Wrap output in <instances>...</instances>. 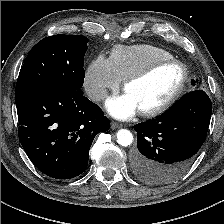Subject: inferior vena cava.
Here are the masks:
<instances>
[{"label":"inferior vena cava","mask_w":224,"mask_h":224,"mask_svg":"<svg viewBox=\"0 0 224 224\" xmlns=\"http://www.w3.org/2000/svg\"><path fill=\"white\" fill-rule=\"evenodd\" d=\"M87 95L92 101H100L106 97L107 92L105 89L93 88L87 91Z\"/></svg>","instance_id":"1"}]
</instances>
